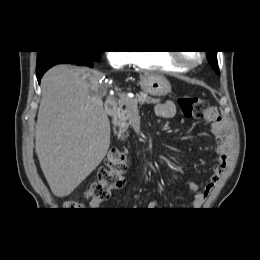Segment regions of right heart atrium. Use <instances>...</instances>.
I'll return each instance as SVG.
<instances>
[{
  "label": "right heart atrium",
  "mask_w": 260,
  "mask_h": 260,
  "mask_svg": "<svg viewBox=\"0 0 260 260\" xmlns=\"http://www.w3.org/2000/svg\"><path fill=\"white\" fill-rule=\"evenodd\" d=\"M107 59L111 66L120 69L133 63V55L128 51H109L107 52Z\"/></svg>",
  "instance_id": "1"
}]
</instances>
